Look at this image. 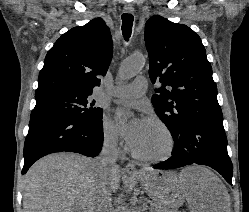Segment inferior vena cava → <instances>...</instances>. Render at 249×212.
Here are the masks:
<instances>
[{
    "mask_svg": "<svg viewBox=\"0 0 249 212\" xmlns=\"http://www.w3.org/2000/svg\"><path fill=\"white\" fill-rule=\"evenodd\" d=\"M118 158L117 140H104L103 148L95 158L98 170V188L99 194L103 196L101 200V212H112V200L109 192L111 184V174L114 168H118L116 160Z\"/></svg>",
    "mask_w": 249,
    "mask_h": 212,
    "instance_id": "1",
    "label": "inferior vena cava"
}]
</instances>
